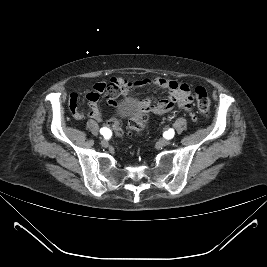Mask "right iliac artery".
Returning a JSON list of instances; mask_svg holds the SVG:
<instances>
[{
  "label": "right iliac artery",
  "instance_id": "1",
  "mask_svg": "<svg viewBox=\"0 0 267 267\" xmlns=\"http://www.w3.org/2000/svg\"><path fill=\"white\" fill-rule=\"evenodd\" d=\"M100 133L104 135L105 138H109L111 136V131L108 128H101Z\"/></svg>",
  "mask_w": 267,
  "mask_h": 267
}]
</instances>
